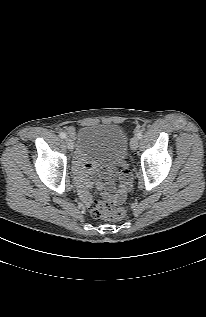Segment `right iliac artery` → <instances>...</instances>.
<instances>
[{
	"label": "right iliac artery",
	"mask_w": 206,
	"mask_h": 317,
	"mask_svg": "<svg viewBox=\"0 0 206 317\" xmlns=\"http://www.w3.org/2000/svg\"><path fill=\"white\" fill-rule=\"evenodd\" d=\"M59 136H60V138H62V139H65V138H66V134L63 133V132H61V133L59 134Z\"/></svg>",
	"instance_id": "obj_1"
}]
</instances>
